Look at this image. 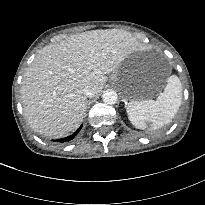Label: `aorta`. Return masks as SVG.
Segmentation results:
<instances>
[{
  "mask_svg": "<svg viewBox=\"0 0 205 205\" xmlns=\"http://www.w3.org/2000/svg\"><path fill=\"white\" fill-rule=\"evenodd\" d=\"M102 99L106 104H115L118 100L117 93L114 90H106L102 94Z\"/></svg>",
  "mask_w": 205,
  "mask_h": 205,
  "instance_id": "1",
  "label": "aorta"
}]
</instances>
